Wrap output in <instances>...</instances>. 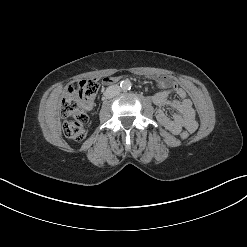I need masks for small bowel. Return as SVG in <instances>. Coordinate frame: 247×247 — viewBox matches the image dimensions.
I'll return each mask as SVG.
<instances>
[{"mask_svg":"<svg viewBox=\"0 0 247 247\" xmlns=\"http://www.w3.org/2000/svg\"><path fill=\"white\" fill-rule=\"evenodd\" d=\"M115 81V77H106L103 80L105 85H110ZM157 82L161 91L152 97V102L158 107L156 118L159 123L174 135H178L182 128H186L191 133L194 132L197 128L195 111L184 88L170 77L159 76ZM170 92H174L179 100H169ZM83 106L85 109H91L93 100H88ZM167 106L176 110V114L172 118H169L163 110Z\"/></svg>","mask_w":247,"mask_h":247,"instance_id":"small-bowel-1","label":"small bowel"}]
</instances>
